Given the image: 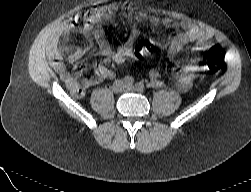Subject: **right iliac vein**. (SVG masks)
Segmentation results:
<instances>
[{
  "label": "right iliac vein",
  "mask_w": 251,
  "mask_h": 192,
  "mask_svg": "<svg viewBox=\"0 0 251 192\" xmlns=\"http://www.w3.org/2000/svg\"><path fill=\"white\" fill-rule=\"evenodd\" d=\"M124 87H125V83L123 81H117L113 85V90L115 92H121L124 90Z\"/></svg>",
  "instance_id": "1"
}]
</instances>
